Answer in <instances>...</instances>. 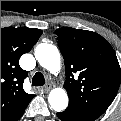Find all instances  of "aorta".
Returning a JSON list of instances; mask_svg holds the SVG:
<instances>
[{
    "instance_id": "aorta-1",
    "label": "aorta",
    "mask_w": 121,
    "mask_h": 121,
    "mask_svg": "<svg viewBox=\"0 0 121 121\" xmlns=\"http://www.w3.org/2000/svg\"><path fill=\"white\" fill-rule=\"evenodd\" d=\"M35 58L39 64L51 73L60 70V53L56 46L48 43H41L35 49ZM51 108L57 112L65 110L68 106V95L62 88L51 90L48 96Z\"/></svg>"
}]
</instances>
